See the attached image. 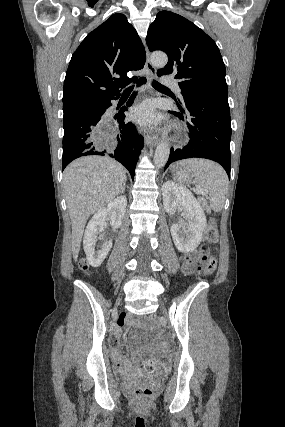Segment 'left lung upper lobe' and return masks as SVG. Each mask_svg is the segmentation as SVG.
Masks as SVG:
<instances>
[{
    "label": "left lung upper lobe",
    "mask_w": 285,
    "mask_h": 427,
    "mask_svg": "<svg viewBox=\"0 0 285 427\" xmlns=\"http://www.w3.org/2000/svg\"><path fill=\"white\" fill-rule=\"evenodd\" d=\"M146 43L150 51L161 50L168 55L160 73L179 79L183 99L212 97L228 102L220 51L194 23L170 11L159 12L149 27Z\"/></svg>",
    "instance_id": "obj_1"
}]
</instances>
